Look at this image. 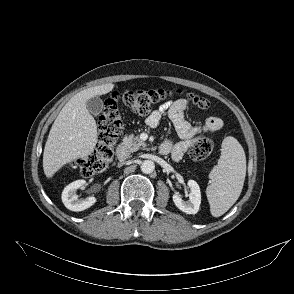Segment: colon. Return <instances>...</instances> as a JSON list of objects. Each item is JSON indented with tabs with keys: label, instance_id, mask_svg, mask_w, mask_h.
I'll use <instances>...</instances> for the list:
<instances>
[{
	"label": "colon",
	"instance_id": "1",
	"mask_svg": "<svg viewBox=\"0 0 294 294\" xmlns=\"http://www.w3.org/2000/svg\"><path fill=\"white\" fill-rule=\"evenodd\" d=\"M173 94L181 95L182 91L172 92L165 89L156 90H130L122 95L117 93L106 101L104 109L98 119L99 138L95 150L85 158L77 161L76 165L84 177H92L103 172L112 163L114 146L123 124L118 108L119 99L137 114H148L152 107ZM193 104L202 109L211 106V102L204 97L193 93L186 94ZM213 151L212 142L205 137L195 138L189 147V155L195 161L207 160Z\"/></svg>",
	"mask_w": 294,
	"mask_h": 294
}]
</instances>
